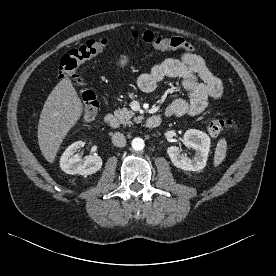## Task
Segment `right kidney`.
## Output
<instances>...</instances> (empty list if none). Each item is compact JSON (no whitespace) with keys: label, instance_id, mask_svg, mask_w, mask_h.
Segmentation results:
<instances>
[{"label":"right kidney","instance_id":"obj_1","mask_svg":"<svg viewBox=\"0 0 276 276\" xmlns=\"http://www.w3.org/2000/svg\"><path fill=\"white\" fill-rule=\"evenodd\" d=\"M84 146V142L77 141L68 146L60 158V167L67 174H79L84 177L96 173L102 166V159L97 155L87 156L74 154Z\"/></svg>","mask_w":276,"mask_h":276}]
</instances>
